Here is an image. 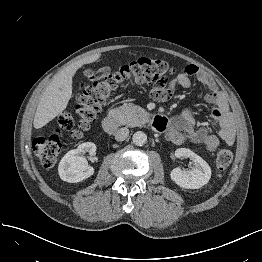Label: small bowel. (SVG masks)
Masks as SVG:
<instances>
[{
  "instance_id": "obj_1",
  "label": "small bowel",
  "mask_w": 262,
  "mask_h": 262,
  "mask_svg": "<svg viewBox=\"0 0 262 262\" xmlns=\"http://www.w3.org/2000/svg\"><path fill=\"white\" fill-rule=\"evenodd\" d=\"M196 77L207 85L208 93L206 101L214 106L212 118L220 123V138L227 144L233 145L235 141L234 125L226 96L209 76L195 65H188L179 71L168 83L165 94L159 98L160 101L169 99L178 86L190 88L191 78ZM163 119V118H162ZM164 131L165 138L175 144L181 145L186 141L202 144L208 151L214 152L218 147V138L212 135L204 127H197L194 119V112L187 108L169 122L163 119L160 125Z\"/></svg>"
}]
</instances>
